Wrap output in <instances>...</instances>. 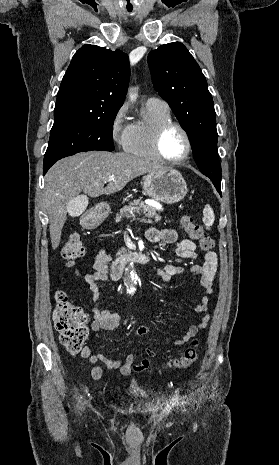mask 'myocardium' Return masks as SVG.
<instances>
[{
	"mask_svg": "<svg viewBox=\"0 0 279 465\" xmlns=\"http://www.w3.org/2000/svg\"><path fill=\"white\" fill-rule=\"evenodd\" d=\"M170 128H177L178 130H180L186 143V151L184 155L177 159H170L166 157L162 151V138L165 132ZM153 149L160 160L166 163H169V164H180V163L185 162L189 158L191 151H192V142H191L189 133L187 132V130L185 129L183 125L175 121H167V122L162 123L156 129L154 137H153Z\"/></svg>",
	"mask_w": 279,
	"mask_h": 465,
	"instance_id": "1",
	"label": "myocardium"
}]
</instances>
